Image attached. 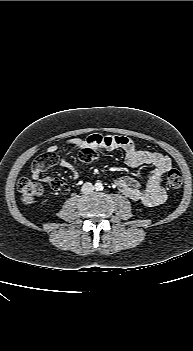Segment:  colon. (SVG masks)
I'll use <instances>...</instances> for the list:
<instances>
[{
  "instance_id": "1",
  "label": "colon",
  "mask_w": 193,
  "mask_h": 351,
  "mask_svg": "<svg viewBox=\"0 0 193 351\" xmlns=\"http://www.w3.org/2000/svg\"><path fill=\"white\" fill-rule=\"evenodd\" d=\"M97 153L95 149H90L85 147L81 149L78 153V158L82 162H92L96 159ZM57 153L56 152H45L38 156L33 163V170L43 171L57 163ZM167 184L171 189H178L182 184V175L180 171L176 168H171L167 174ZM51 187L59 192L67 193L68 187L61 180L53 179L50 183ZM18 191L22 201L26 204L35 203L41 196L43 189L42 186L30 179L22 178L18 182Z\"/></svg>"
}]
</instances>
